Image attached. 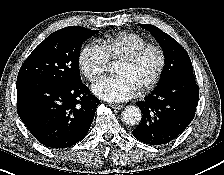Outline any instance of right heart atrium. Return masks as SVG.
I'll return each instance as SVG.
<instances>
[{
  "label": "right heart atrium",
  "instance_id": "obj_1",
  "mask_svg": "<svg viewBox=\"0 0 224 175\" xmlns=\"http://www.w3.org/2000/svg\"><path fill=\"white\" fill-rule=\"evenodd\" d=\"M108 58L96 44H86L79 54V66L84 76L91 82L99 80L105 73Z\"/></svg>",
  "mask_w": 224,
  "mask_h": 175
}]
</instances>
